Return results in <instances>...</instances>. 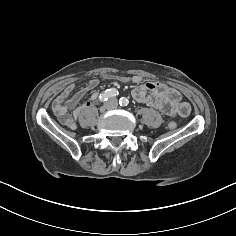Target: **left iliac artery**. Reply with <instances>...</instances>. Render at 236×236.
Listing matches in <instances>:
<instances>
[{
  "mask_svg": "<svg viewBox=\"0 0 236 236\" xmlns=\"http://www.w3.org/2000/svg\"><path fill=\"white\" fill-rule=\"evenodd\" d=\"M119 104H120L121 106L125 107V106H127V105L129 104V101H128L127 98L122 97V98H120V100H119Z\"/></svg>",
  "mask_w": 236,
  "mask_h": 236,
  "instance_id": "left-iliac-artery-1",
  "label": "left iliac artery"
}]
</instances>
